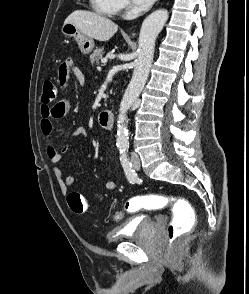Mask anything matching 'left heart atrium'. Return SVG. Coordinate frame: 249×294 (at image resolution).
Returning a JSON list of instances; mask_svg holds the SVG:
<instances>
[{
	"label": "left heart atrium",
	"instance_id": "obj_1",
	"mask_svg": "<svg viewBox=\"0 0 249 294\" xmlns=\"http://www.w3.org/2000/svg\"><path fill=\"white\" fill-rule=\"evenodd\" d=\"M135 3L137 4H149L151 3L153 0H133Z\"/></svg>",
	"mask_w": 249,
	"mask_h": 294
}]
</instances>
